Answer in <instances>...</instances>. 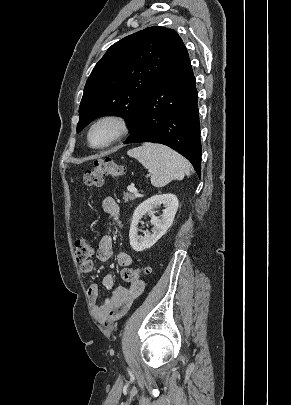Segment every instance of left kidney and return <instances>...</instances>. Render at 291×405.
I'll return each mask as SVG.
<instances>
[{
  "label": "left kidney",
  "mask_w": 291,
  "mask_h": 405,
  "mask_svg": "<svg viewBox=\"0 0 291 405\" xmlns=\"http://www.w3.org/2000/svg\"><path fill=\"white\" fill-rule=\"evenodd\" d=\"M164 205L161 218L154 215L153 209L158 205ZM179 201L174 194L155 195L142 202L134 211L130 225L129 239L133 250L141 252L152 247L171 227L175 214L178 210ZM146 213H151L152 233L144 236L138 235V224Z\"/></svg>",
  "instance_id": "left-kidney-1"
}]
</instances>
